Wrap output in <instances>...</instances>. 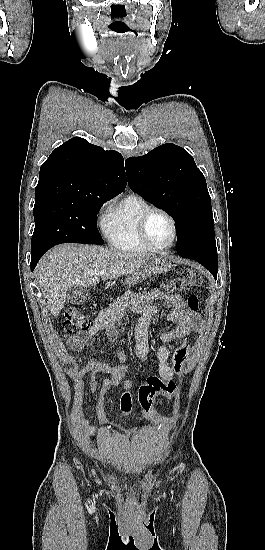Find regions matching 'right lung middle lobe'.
<instances>
[{
	"instance_id": "right-lung-middle-lobe-1",
	"label": "right lung middle lobe",
	"mask_w": 265,
	"mask_h": 550,
	"mask_svg": "<svg viewBox=\"0 0 265 550\" xmlns=\"http://www.w3.org/2000/svg\"><path fill=\"white\" fill-rule=\"evenodd\" d=\"M109 199L111 198L35 197V229L31 240V254L46 252L51 247L66 242L103 244L97 229V213Z\"/></svg>"
}]
</instances>
